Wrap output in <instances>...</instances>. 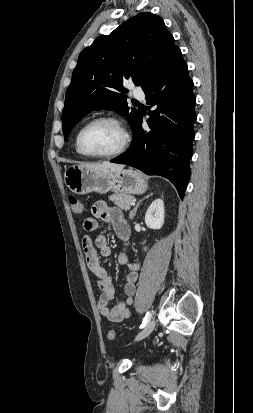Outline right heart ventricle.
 <instances>
[{
    "label": "right heart ventricle",
    "instance_id": "obj_1",
    "mask_svg": "<svg viewBox=\"0 0 253 413\" xmlns=\"http://www.w3.org/2000/svg\"><path fill=\"white\" fill-rule=\"evenodd\" d=\"M74 145H75V150H76V152H77L78 154H80L79 151H78V149H77V147H76V140H75Z\"/></svg>",
    "mask_w": 253,
    "mask_h": 413
}]
</instances>
